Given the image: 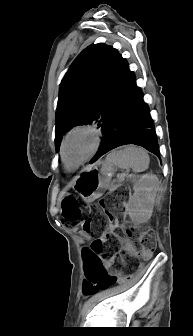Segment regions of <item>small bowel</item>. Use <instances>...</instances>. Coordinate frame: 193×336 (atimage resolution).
<instances>
[{"mask_svg":"<svg viewBox=\"0 0 193 336\" xmlns=\"http://www.w3.org/2000/svg\"><path fill=\"white\" fill-rule=\"evenodd\" d=\"M127 248L131 249V246L127 245ZM113 262H114L113 259H108V260L103 261V265H104L105 270L112 271V264H113ZM84 271H85V276H86V253L84 254ZM86 280H87V278H86Z\"/></svg>","mask_w":193,"mask_h":336,"instance_id":"1","label":"small bowel"}]
</instances>
